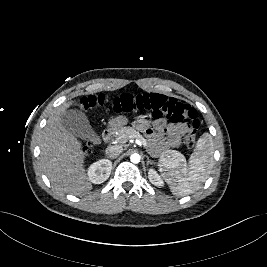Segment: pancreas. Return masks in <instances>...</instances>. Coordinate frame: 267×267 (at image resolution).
<instances>
[{
    "mask_svg": "<svg viewBox=\"0 0 267 267\" xmlns=\"http://www.w3.org/2000/svg\"><path fill=\"white\" fill-rule=\"evenodd\" d=\"M117 137H126V140L129 138L133 139H144L143 136L136 130H134L132 127H122L117 130ZM176 151L169 150L166 152H163L160 157L162 159L170 160L175 156Z\"/></svg>",
    "mask_w": 267,
    "mask_h": 267,
    "instance_id": "pancreas-1",
    "label": "pancreas"
}]
</instances>
